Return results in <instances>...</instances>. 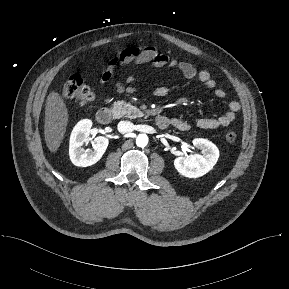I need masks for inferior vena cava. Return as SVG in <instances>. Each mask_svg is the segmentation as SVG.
Listing matches in <instances>:
<instances>
[{
  "mask_svg": "<svg viewBox=\"0 0 289 289\" xmlns=\"http://www.w3.org/2000/svg\"><path fill=\"white\" fill-rule=\"evenodd\" d=\"M133 129H134V125L130 121H120L118 123V131L122 134L132 132Z\"/></svg>",
  "mask_w": 289,
  "mask_h": 289,
  "instance_id": "1",
  "label": "inferior vena cava"
}]
</instances>
